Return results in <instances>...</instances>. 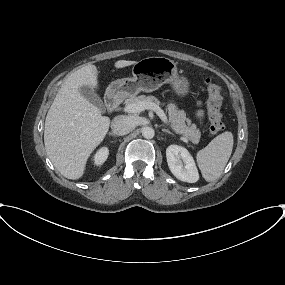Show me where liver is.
Wrapping results in <instances>:
<instances>
[{"instance_id":"obj_1","label":"liver","mask_w":285,"mask_h":285,"mask_svg":"<svg viewBox=\"0 0 285 285\" xmlns=\"http://www.w3.org/2000/svg\"><path fill=\"white\" fill-rule=\"evenodd\" d=\"M135 63L118 60L114 66L119 69ZM83 85L98 87L95 65L86 64L66 78L45 120L46 153L55 168L72 180L83 176L90 154L103 141L110 125V119L81 95Z\"/></svg>"}]
</instances>
